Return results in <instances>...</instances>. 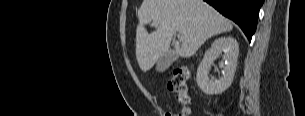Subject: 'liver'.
Listing matches in <instances>:
<instances>
[{
    "instance_id": "1",
    "label": "liver",
    "mask_w": 305,
    "mask_h": 116,
    "mask_svg": "<svg viewBox=\"0 0 305 116\" xmlns=\"http://www.w3.org/2000/svg\"><path fill=\"white\" fill-rule=\"evenodd\" d=\"M136 58L146 72L169 49L173 34L182 35L175 42V52L190 57L210 37L231 31L232 23L203 0H144L138 10ZM152 22L156 30L148 33Z\"/></svg>"
}]
</instances>
